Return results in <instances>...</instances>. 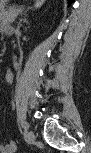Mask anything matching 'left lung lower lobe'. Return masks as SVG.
I'll use <instances>...</instances> for the list:
<instances>
[{
    "mask_svg": "<svg viewBox=\"0 0 91 153\" xmlns=\"http://www.w3.org/2000/svg\"><path fill=\"white\" fill-rule=\"evenodd\" d=\"M74 0H68V4L70 5Z\"/></svg>",
    "mask_w": 91,
    "mask_h": 153,
    "instance_id": "obj_1",
    "label": "left lung lower lobe"
}]
</instances>
